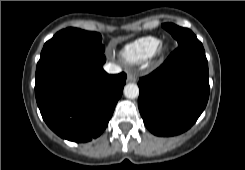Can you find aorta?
<instances>
[{
	"label": "aorta",
	"mask_w": 245,
	"mask_h": 170,
	"mask_svg": "<svg viewBox=\"0 0 245 170\" xmlns=\"http://www.w3.org/2000/svg\"><path fill=\"white\" fill-rule=\"evenodd\" d=\"M124 95L129 99L137 98L139 95V87L134 83L126 84L124 87Z\"/></svg>",
	"instance_id": "obj_1"
}]
</instances>
